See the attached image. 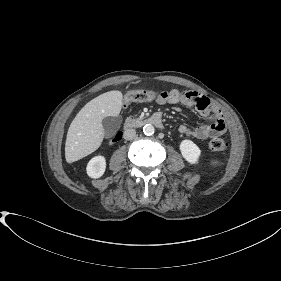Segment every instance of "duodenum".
Instances as JSON below:
<instances>
[{"mask_svg": "<svg viewBox=\"0 0 281 281\" xmlns=\"http://www.w3.org/2000/svg\"><path fill=\"white\" fill-rule=\"evenodd\" d=\"M148 124L155 125L160 129L164 128L162 116L160 114H154L150 117L142 118V119H135V118L128 119L124 124V130H128L130 128H140Z\"/></svg>", "mask_w": 281, "mask_h": 281, "instance_id": "410a0bca", "label": "duodenum"}]
</instances>
